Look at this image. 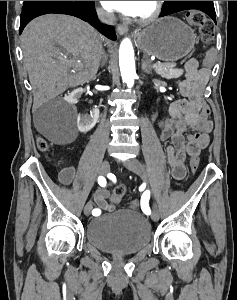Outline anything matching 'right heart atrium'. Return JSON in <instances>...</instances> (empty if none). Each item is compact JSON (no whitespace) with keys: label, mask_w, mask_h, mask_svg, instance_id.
<instances>
[{"label":"right heart atrium","mask_w":237,"mask_h":300,"mask_svg":"<svg viewBox=\"0 0 237 300\" xmlns=\"http://www.w3.org/2000/svg\"><path fill=\"white\" fill-rule=\"evenodd\" d=\"M96 15L103 23H112L114 21L113 15L100 7L96 8Z\"/></svg>","instance_id":"obj_1"}]
</instances>
